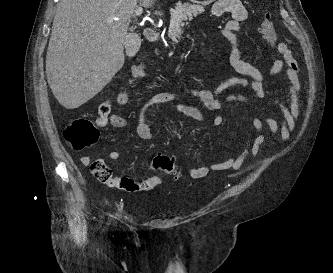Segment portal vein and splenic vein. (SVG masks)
<instances>
[{
  "mask_svg": "<svg viewBox=\"0 0 333 273\" xmlns=\"http://www.w3.org/2000/svg\"><path fill=\"white\" fill-rule=\"evenodd\" d=\"M142 11H143V8L140 7V6H137L136 9H135V14L137 16H140L142 14ZM116 20V19H115Z\"/></svg>",
  "mask_w": 333,
  "mask_h": 273,
  "instance_id": "18ae733b",
  "label": "portal vein and splenic vein"
}]
</instances>
